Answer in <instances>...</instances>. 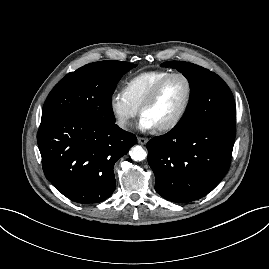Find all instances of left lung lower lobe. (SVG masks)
Returning a JSON list of instances; mask_svg holds the SVG:
<instances>
[{"label": "left lung lower lobe", "instance_id": "0a47b994", "mask_svg": "<svg viewBox=\"0 0 269 269\" xmlns=\"http://www.w3.org/2000/svg\"><path fill=\"white\" fill-rule=\"evenodd\" d=\"M234 140L235 119L229 118L153 138L146 147L156 192L176 203L207 195L229 169Z\"/></svg>", "mask_w": 269, "mask_h": 269}]
</instances>
